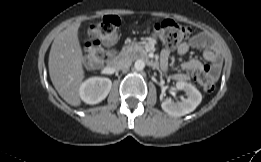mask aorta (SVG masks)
I'll use <instances>...</instances> for the list:
<instances>
[{
	"label": "aorta",
	"instance_id": "762f6f07",
	"mask_svg": "<svg viewBox=\"0 0 261 162\" xmlns=\"http://www.w3.org/2000/svg\"><path fill=\"white\" fill-rule=\"evenodd\" d=\"M144 67H145V63H144L143 60L138 59V60L135 61L134 68H135L137 71L143 70Z\"/></svg>",
	"mask_w": 261,
	"mask_h": 162
}]
</instances>
